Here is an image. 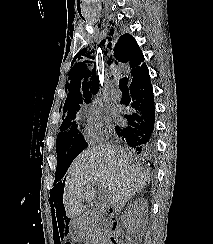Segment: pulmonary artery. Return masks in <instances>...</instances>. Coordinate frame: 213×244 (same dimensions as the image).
Returning a JSON list of instances; mask_svg holds the SVG:
<instances>
[{"label": "pulmonary artery", "mask_w": 213, "mask_h": 244, "mask_svg": "<svg viewBox=\"0 0 213 244\" xmlns=\"http://www.w3.org/2000/svg\"><path fill=\"white\" fill-rule=\"evenodd\" d=\"M109 93H110V95H111L112 97H114L115 99H120V97H121V93H120L119 90H117L116 88H112V89H110Z\"/></svg>", "instance_id": "pulmonary-artery-1"}]
</instances>
